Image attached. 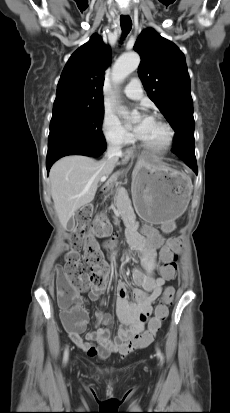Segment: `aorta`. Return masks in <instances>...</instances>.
<instances>
[{"instance_id": "aorta-1", "label": "aorta", "mask_w": 230, "mask_h": 413, "mask_svg": "<svg viewBox=\"0 0 230 413\" xmlns=\"http://www.w3.org/2000/svg\"><path fill=\"white\" fill-rule=\"evenodd\" d=\"M140 64V57L137 53H127L120 56L115 62L112 69V78L115 83L123 81L130 73L138 68ZM121 114H128L120 107Z\"/></svg>"}]
</instances>
